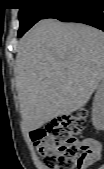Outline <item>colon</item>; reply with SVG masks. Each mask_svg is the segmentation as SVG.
Returning a JSON list of instances; mask_svg holds the SVG:
<instances>
[{
	"instance_id": "colon-1",
	"label": "colon",
	"mask_w": 104,
	"mask_h": 169,
	"mask_svg": "<svg viewBox=\"0 0 104 169\" xmlns=\"http://www.w3.org/2000/svg\"><path fill=\"white\" fill-rule=\"evenodd\" d=\"M87 111L80 109L57 119L45 129L31 132L48 169H84L99 158L96 145L78 135L86 125Z\"/></svg>"
}]
</instances>
